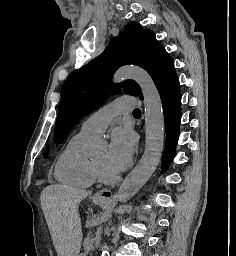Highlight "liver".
I'll return each instance as SVG.
<instances>
[{"label":"liver","mask_w":236,"mask_h":256,"mask_svg":"<svg viewBox=\"0 0 236 256\" xmlns=\"http://www.w3.org/2000/svg\"><path fill=\"white\" fill-rule=\"evenodd\" d=\"M90 192L71 186H47L41 206L58 256H78L82 244L79 204Z\"/></svg>","instance_id":"obj_1"}]
</instances>
